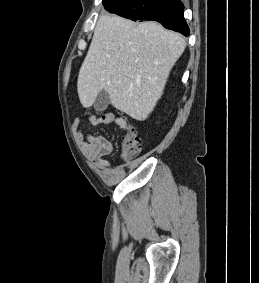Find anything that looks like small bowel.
Returning <instances> with one entry per match:
<instances>
[{"instance_id": "obj_1", "label": "small bowel", "mask_w": 259, "mask_h": 283, "mask_svg": "<svg viewBox=\"0 0 259 283\" xmlns=\"http://www.w3.org/2000/svg\"><path fill=\"white\" fill-rule=\"evenodd\" d=\"M90 123L93 126H100L107 123H115L120 128L127 131V125L126 122L122 118L116 117L112 113L104 114L100 117L96 115H92L89 118ZM81 124L80 118L74 119V127L78 128ZM86 141H87V154L88 156L95 161H98L104 168L110 169L111 163L107 159V156L111 152V143L108 139L102 136H97L91 133H88L86 135ZM122 169H119L116 171L115 174H121Z\"/></svg>"}]
</instances>
